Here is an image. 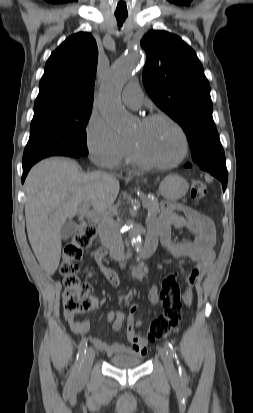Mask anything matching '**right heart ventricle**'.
Segmentation results:
<instances>
[{
    "label": "right heart ventricle",
    "instance_id": "obj_1",
    "mask_svg": "<svg viewBox=\"0 0 253 413\" xmlns=\"http://www.w3.org/2000/svg\"><path fill=\"white\" fill-rule=\"evenodd\" d=\"M123 160H124L126 163H131V164L139 163V161L137 160V158H136V156H135V154H134V152H133L132 147H131L130 144H129L128 148H127V151H126V153H125V155H124Z\"/></svg>",
    "mask_w": 253,
    "mask_h": 413
}]
</instances>
